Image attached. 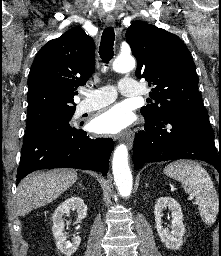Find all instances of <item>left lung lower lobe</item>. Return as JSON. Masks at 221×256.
<instances>
[{
	"mask_svg": "<svg viewBox=\"0 0 221 256\" xmlns=\"http://www.w3.org/2000/svg\"><path fill=\"white\" fill-rule=\"evenodd\" d=\"M175 159L202 160L221 174V150L215 147L207 112L174 111L160 121L145 119L133 145L135 169L145 163Z\"/></svg>",
	"mask_w": 221,
	"mask_h": 256,
	"instance_id": "1",
	"label": "left lung lower lobe"
}]
</instances>
